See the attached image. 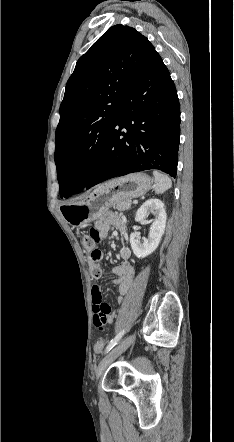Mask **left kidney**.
Listing matches in <instances>:
<instances>
[{"label":"left kidney","mask_w":234,"mask_h":442,"mask_svg":"<svg viewBox=\"0 0 234 442\" xmlns=\"http://www.w3.org/2000/svg\"><path fill=\"white\" fill-rule=\"evenodd\" d=\"M148 212L153 213L155 216L150 227L149 238H143V242H141L140 237L136 233H131L130 235V244L133 253L138 258H145L154 252L165 231L166 212L164 203L156 198L147 200L137 210L135 221L140 222L146 220Z\"/></svg>","instance_id":"1"}]
</instances>
